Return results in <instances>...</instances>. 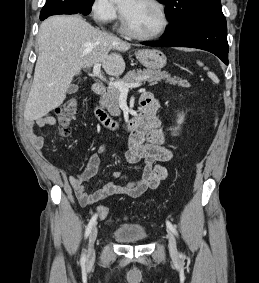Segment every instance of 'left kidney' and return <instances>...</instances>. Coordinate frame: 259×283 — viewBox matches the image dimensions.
<instances>
[{
    "instance_id": "obj_1",
    "label": "left kidney",
    "mask_w": 259,
    "mask_h": 283,
    "mask_svg": "<svg viewBox=\"0 0 259 283\" xmlns=\"http://www.w3.org/2000/svg\"><path fill=\"white\" fill-rule=\"evenodd\" d=\"M182 122H183V116L180 115V116H179V119H178V124H181Z\"/></svg>"
}]
</instances>
